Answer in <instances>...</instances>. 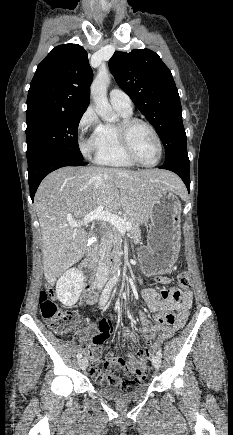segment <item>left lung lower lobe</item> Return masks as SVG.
I'll return each mask as SVG.
<instances>
[{
  "label": "left lung lower lobe",
  "instance_id": "left-lung-lower-lobe-1",
  "mask_svg": "<svg viewBox=\"0 0 233 435\" xmlns=\"http://www.w3.org/2000/svg\"><path fill=\"white\" fill-rule=\"evenodd\" d=\"M159 168L167 169L178 174L185 183L188 191H190V161L187 150H181L166 159L164 164Z\"/></svg>",
  "mask_w": 233,
  "mask_h": 435
}]
</instances>
